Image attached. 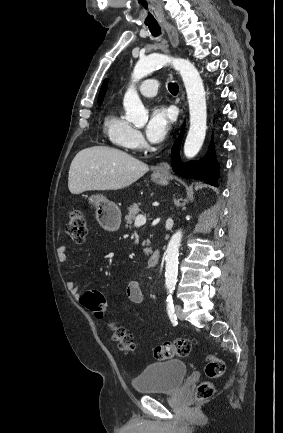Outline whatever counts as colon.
I'll list each match as a JSON object with an SVG mask.
<instances>
[{"label": "colon", "instance_id": "colon-1", "mask_svg": "<svg viewBox=\"0 0 283 433\" xmlns=\"http://www.w3.org/2000/svg\"><path fill=\"white\" fill-rule=\"evenodd\" d=\"M64 232L78 244L87 240L86 218L80 210H73L64 224ZM80 303L91 311L97 318H103L106 311V301L101 293L96 290L85 292L80 299ZM112 330L113 339L118 343L120 350L131 353L135 350L136 344L132 334L121 326L114 323L109 324ZM191 342L186 338H179L172 342H164L154 349V356L160 360L171 359L174 357H185L191 352ZM225 370L223 361L214 355H211L205 366V373L210 379L220 377ZM213 385L210 382H204L198 387L197 397L205 399L212 395Z\"/></svg>", "mask_w": 283, "mask_h": 433}]
</instances>
